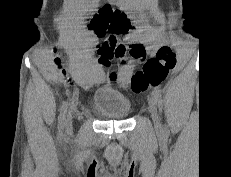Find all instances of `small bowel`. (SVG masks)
Listing matches in <instances>:
<instances>
[{"instance_id":"obj_1","label":"small bowel","mask_w":231,"mask_h":177,"mask_svg":"<svg viewBox=\"0 0 231 177\" xmlns=\"http://www.w3.org/2000/svg\"><path fill=\"white\" fill-rule=\"evenodd\" d=\"M116 9H118V10H120V11H122V12H124L125 13V5H124V3L123 2H119L118 4H117V8ZM149 51H150V53H154L155 51H156V46H151L150 48H149ZM104 65V64H103ZM65 78H67L68 80H70V78H68L66 75H65Z\"/></svg>"}]
</instances>
